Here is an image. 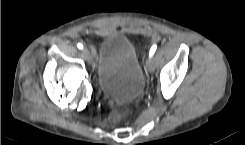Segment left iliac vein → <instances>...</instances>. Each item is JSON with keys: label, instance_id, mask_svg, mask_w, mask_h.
Segmentation results:
<instances>
[{"label": "left iliac vein", "instance_id": "1", "mask_svg": "<svg viewBox=\"0 0 245 145\" xmlns=\"http://www.w3.org/2000/svg\"><path fill=\"white\" fill-rule=\"evenodd\" d=\"M146 66H147V69L150 72H154V70H155V64H154V61H153V59L151 57H149L147 59Z\"/></svg>", "mask_w": 245, "mask_h": 145}]
</instances>
